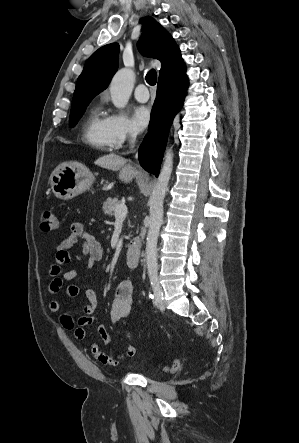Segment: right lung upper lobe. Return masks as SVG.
Instances as JSON below:
<instances>
[{
	"label": "right lung upper lobe",
	"mask_w": 299,
	"mask_h": 443,
	"mask_svg": "<svg viewBox=\"0 0 299 443\" xmlns=\"http://www.w3.org/2000/svg\"><path fill=\"white\" fill-rule=\"evenodd\" d=\"M144 30L138 42L139 51L162 63L159 78L174 77L186 71L180 50L171 35L153 18L144 22ZM119 45L102 46L87 60L78 77L72 99V107L91 101L108 86L118 68Z\"/></svg>",
	"instance_id": "right-lung-upper-lobe-1"
}]
</instances>
